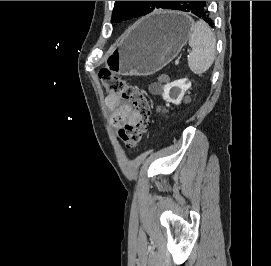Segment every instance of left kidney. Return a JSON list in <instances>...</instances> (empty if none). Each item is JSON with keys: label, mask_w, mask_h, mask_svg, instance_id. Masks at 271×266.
I'll return each mask as SVG.
<instances>
[{"label": "left kidney", "mask_w": 271, "mask_h": 266, "mask_svg": "<svg viewBox=\"0 0 271 266\" xmlns=\"http://www.w3.org/2000/svg\"><path fill=\"white\" fill-rule=\"evenodd\" d=\"M189 86L190 85L188 83H186L184 79L171 82L167 85V87L164 90L163 99L169 103H174V104L178 105V104H180L182 97H183L184 93L188 90ZM178 89L180 90V92L177 95V97L170 96L171 90L173 91V94H175V92Z\"/></svg>", "instance_id": "1"}]
</instances>
